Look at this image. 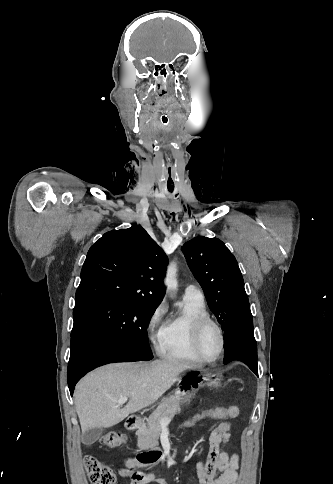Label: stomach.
Listing matches in <instances>:
<instances>
[{"label": "stomach", "mask_w": 333, "mask_h": 484, "mask_svg": "<svg viewBox=\"0 0 333 484\" xmlns=\"http://www.w3.org/2000/svg\"><path fill=\"white\" fill-rule=\"evenodd\" d=\"M213 375L205 373H196L192 379H186L178 385L174 392V395L179 398L180 403L189 401L196 391L205 385L204 382H208L207 385L214 388H219L221 386L220 378L216 376L211 379Z\"/></svg>", "instance_id": "1"}]
</instances>
